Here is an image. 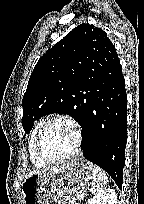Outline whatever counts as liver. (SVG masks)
Here are the masks:
<instances>
[{
  "mask_svg": "<svg viewBox=\"0 0 144 204\" xmlns=\"http://www.w3.org/2000/svg\"><path fill=\"white\" fill-rule=\"evenodd\" d=\"M45 170H47V169H37V170L31 171V172H29V174L27 175V177H29V176H31V175H33V174H37V173L43 172V171H45ZM27 177H26V178H27Z\"/></svg>",
  "mask_w": 144,
  "mask_h": 204,
  "instance_id": "6515ba94",
  "label": "liver"
}]
</instances>
